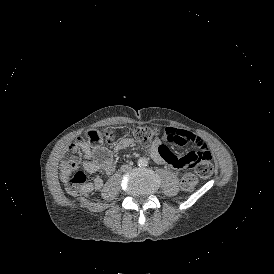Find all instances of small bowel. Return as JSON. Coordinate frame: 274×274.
<instances>
[{
	"mask_svg": "<svg viewBox=\"0 0 274 274\" xmlns=\"http://www.w3.org/2000/svg\"><path fill=\"white\" fill-rule=\"evenodd\" d=\"M187 143L195 144L200 150L208 147L203 139L196 134L187 130L174 129L167 126L164 129V144L160 138H156L148 148L150 157L158 164L170 165L176 169L190 168L195 165L196 175L201 179H209L213 175L214 157L210 154L205 156L200 153L192 155L178 154L175 150L181 145ZM133 144L132 139L122 137L115 144V150L121 151ZM79 149L83 153V167L88 173H95L102 169L105 175H109L114 170V161L110 151L100 144H91L83 140L79 143ZM163 157H168L171 163L165 161ZM104 180L100 177L94 178L91 182L86 183L81 194L86 195L91 191H99L103 186Z\"/></svg>",
	"mask_w": 274,
	"mask_h": 274,
	"instance_id": "small-bowel-1",
	"label": "small bowel"
}]
</instances>
